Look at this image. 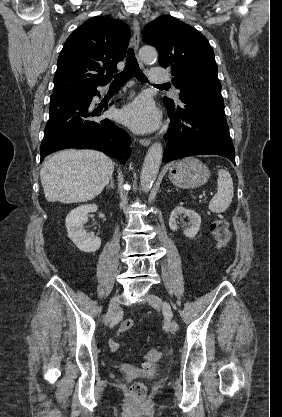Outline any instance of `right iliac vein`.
Masks as SVG:
<instances>
[{"label": "right iliac vein", "instance_id": "obj_1", "mask_svg": "<svg viewBox=\"0 0 282 417\" xmlns=\"http://www.w3.org/2000/svg\"><path fill=\"white\" fill-rule=\"evenodd\" d=\"M119 306V297L118 296H114L110 302H109V307H108V312L104 318V323L107 325L110 323V321L112 320V318L114 317L117 309Z\"/></svg>", "mask_w": 282, "mask_h": 417}]
</instances>
